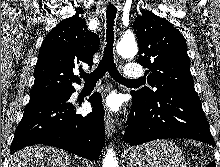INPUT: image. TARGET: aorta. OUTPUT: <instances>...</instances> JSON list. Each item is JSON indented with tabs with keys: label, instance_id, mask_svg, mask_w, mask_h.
Here are the masks:
<instances>
[{
	"label": "aorta",
	"instance_id": "762f6f07",
	"mask_svg": "<svg viewBox=\"0 0 220 167\" xmlns=\"http://www.w3.org/2000/svg\"><path fill=\"white\" fill-rule=\"evenodd\" d=\"M116 49L117 53L123 58L134 57L138 52L137 44L133 37L123 38L120 40ZM102 167H118V160L116 159L115 152L112 148L107 150V153L103 159Z\"/></svg>",
	"mask_w": 220,
	"mask_h": 167
}]
</instances>
